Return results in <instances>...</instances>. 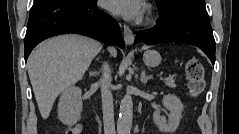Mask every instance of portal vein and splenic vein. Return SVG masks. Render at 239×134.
<instances>
[{
    "label": "portal vein and splenic vein",
    "mask_w": 239,
    "mask_h": 134,
    "mask_svg": "<svg viewBox=\"0 0 239 134\" xmlns=\"http://www.w3.org/2000/svg\"><path fill=\"white\" fill-rule=\"evenodd\" d=\"M160 79H161V80H163V79H164V77H160Z\"/></svg>",
    "instance_id": "portal-vein-and-splenic-vein-1"
}]
</instances>
